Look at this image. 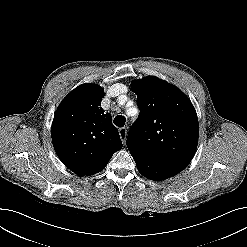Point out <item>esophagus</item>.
Here are the masks:
<instances>
[{"label": "esophagus", "instance_id": "obj_1", "mask_svg": "<svg viewBox=\"0 0 247 247\" xmlns=\"http://www.w3.org/2000/svg\"><path fill=\"white\" fill-rule=\"evenodd\" d=\"M119 135H120V138H121L123 144H125L126 136H127V129L125 127L120 128L119 129Z\"/></svg>", "mask_w": 247, "mask_h": 247}]
</instances>
